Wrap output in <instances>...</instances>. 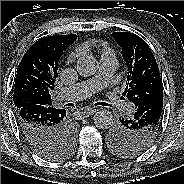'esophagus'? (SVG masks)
Segmentation results:
<instances>
[{
	"mask_svg": "<svg viewBox=\"0 0 184 184\" xmlns=\"http://www.w3.org/2000/svg\"><path fill=\"white\" fill-rule=\"evenodd\" d=\"M96 112V109L94 108H87L86 110L82 111V115L85 117H88L90 115H93Z\"/></svg>",
	"mask_w": 184,
	"mask_h": 184,
	"instance_id": "34e87169",
	"label": "esophagus"
}]
</instances>
